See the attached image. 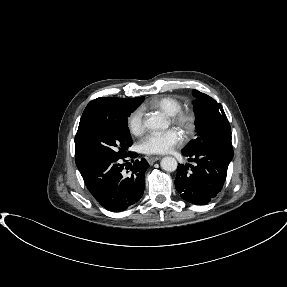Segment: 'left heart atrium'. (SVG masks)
<instances>
[{
	"label": "left heart atrium",
	"instance_id": "1",
	"mask_svg": "<svg viewBox=\"0 0 287 287\" xmlns=\"http://www.w3.org/2000/svg\"><path fill=\"white\" fill-rule=\"evenodd\" d=\"M182 142V136L176 129L148 134L140 143V150L148 155H160L170 152Z\"/></svg>",
	"mask_w": 287,
	"mask_h": 287
}]
</instances>
